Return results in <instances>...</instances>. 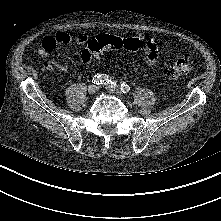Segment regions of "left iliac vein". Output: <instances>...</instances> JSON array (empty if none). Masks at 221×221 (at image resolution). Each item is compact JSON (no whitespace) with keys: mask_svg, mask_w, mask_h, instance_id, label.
Instances as JSON below:
<instances>
[{"mask_svg":"<svg viewBox=\"0 0 221 221\" xmlns=\"http://www.w3.org/2000/svg\"><path fill=\"white\" fill-rule=\"evenodd\" d=\"M106 89L110 93H113V94H116V95H122V92H121L120 88L118 86H116V85H107Z\"/></svg>","mask_w":221,"mask_h":221,"instance_id":"4c4485c4","label":"left iliac vein"}]
</instances>
